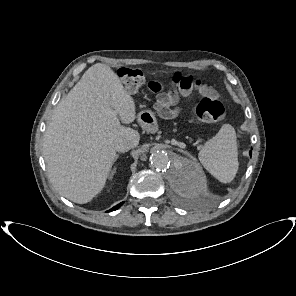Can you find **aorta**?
Segmentation results:
<instances>
[{"instance_id": "obj_1", "label": "aorta", "mask_w": 296, "mask_h": 296, "mask_svg": "<svg viewBox=\"0 0 296 296\" xmlns=\"http://www.w3.org/2000/svg\"><path fill=\"white\" fill-rule=\"evenodd\" d=\"M151 167L166 175L170 183L181 191L200 192L203 179L195 163L174 152L157 150L150 156Z\"/></svg>"}]
</instances>
